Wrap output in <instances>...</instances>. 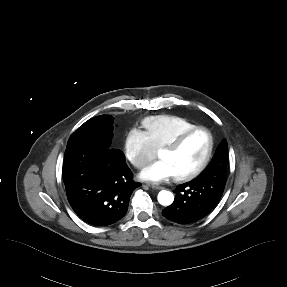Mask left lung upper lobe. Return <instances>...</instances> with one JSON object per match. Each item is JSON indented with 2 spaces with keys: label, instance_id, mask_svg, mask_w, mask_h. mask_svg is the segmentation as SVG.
<instances>
[{
  "label": "left lung upper lobe",
  "instance_id": "obj_1",
  "mask_svg": "<svg viewBox=\"0 0 287 287\" xmlns=\"http://www.w3.org/2000/svg\"><path fill=\"white\" fill-rule=\"evenodd\" d=\"M227 155H228V145L227 141L224 139L219 145L210 165L203 171V173L194 179V181L210 184V180L214 177L222 176L226 179L227 173Z\"/></svg>",
  "mask_w": 287,
  "mask_h": 287
}]
</instances>
